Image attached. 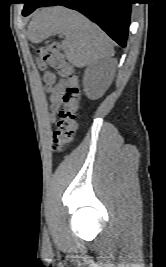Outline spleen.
Returning <instances> with one entry per match:
<instances>
[{
	"label": "spleen",
	"instance_id": "obj_1",
	"mask_svg": "<svg viewBox=\"0 0 166 267\" xmlns=\"http://www.w3.org/2000/svg\"><path fill=\"white\" fill-rule=\"evenodd\" d=\"M29 32L34 39L62 34L67 59L75 66H87L109 59L113 45L109 37L82 14L63 6L48 7L37 12Z\"/></svg>",
	"mask_w": 166,
	"mask_h": 267
}]
</instances>
